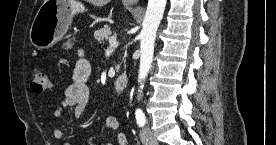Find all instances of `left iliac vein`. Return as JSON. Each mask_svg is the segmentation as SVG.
Segmentation results:
<instances>
[{"label":"left iliac vein","mask_w":276,"mask_h":145,"mask_svg":"<svg viewBox=\"0 0 276 145\" xmlns=\"http://www.w3.org/2000/svg\"><path fill=\"white\" fill-rule=\"evenodd\" d=\"M140 138L145 145H156L157 140L150 127L145 126L140 131Z\"/></svg>","instance_id":"4c4485c4"}]
</instances>
